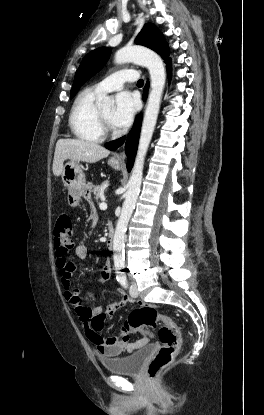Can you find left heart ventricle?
Wrapping results in <instances>:
<instances>
[{"label":"left heart ventricle","mask_w":264,"mask_h":415,"mask_svg":"<svg viewBox=\"0 0 264 415\" xmlns=\"http://www.w3.org/2000/svg\"><path fill=\"white\" fill-rule=\"evenodd\" d=\"M100 111H101V113H102L103 117L106 119V121H107V122L109 123V125L111 126V128H113V129H114V126H113V124H112V120H111L113 109H112V108H110V107H108V108H103V109H101Z\"/></svg>","instance_id":"1"}]
</instances>
